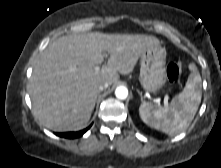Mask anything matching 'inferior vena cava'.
<instances>
[{
	"mask_svg": "<svg viewBox=\"0 0 221 168\" xmlns=\"http://www.w3.org/2000/svg\"><path fill=\"white\" fill-rule=\"evenodd\" d=\"M108 86H109L108 83L101 84L99 86V91H103L104 89L108 88Z\"/></svg>",
	"mask_w": 221,
	"mask_h": 168,
	"instance_id": "602c4592",
	"label": "inferior vena cava"
}]
</instances>
